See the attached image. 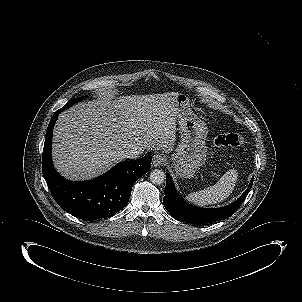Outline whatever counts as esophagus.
Returning <instances> with one entry per match:
<instances>
[{
	"label": "esophagus",
	"instance_id": "34e87169",
	"mask_svg": "<svg viewBox=\"0 0 302 302\" xmlns=\"http://www.w3.org/2000/svg\"><path fill=\"white\" fill-rule=\"evenodd\" d=\"M165 161H166V158L163 155L156 154L153 156L152 164L155 167H160L165 163Z\"/></svg>",
	"mask_w": 302,
	"mask_h": 302
}]
</instances>
